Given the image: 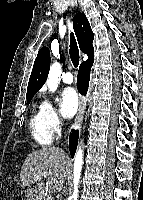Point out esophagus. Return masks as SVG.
I'll return each mask as SVG.
<instances>
[{"label": "esophagus", "instance_id": "esophagus-1", "mask_svg": "<svg viewBox=\"0 0 143 200\" xmlns=\"http://www.w3.org/2000/svg\"><path fill=\"white\" fill-rule=\"evenodd\" d=\"M84 111H85V98L83 96L80 97V106H79V110H78V114L76 116L75 119V124H74V128H78V126L80 125L83 116H84Z\"/></svg>", "mask_w": 143, "mask_h": 200}]
</instances>
